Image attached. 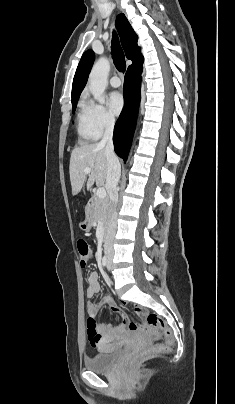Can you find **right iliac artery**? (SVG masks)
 I'll use <instances>...</instances> for the list:
<instances>
[{
    "label": "right iliac artery",
    "mask_w": 235,
    "mask_h": 404,
    "mask_svg": "<svg viewBox=\"0 0 235 404\" xmlns=\"http://www.w3.org/2000/svg\"><path fill=\"white\" fill-rule=\"evenodd\" d=\"M102 263H103L104 266H106V264H107V257L106 256H104L102 258Z\"/></svg>",
    "instance_id": "82829eb1"
}]
</instances>
